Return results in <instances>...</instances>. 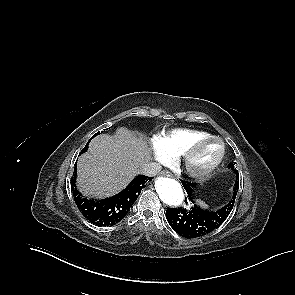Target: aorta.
Instances as JSON below:
<instances>
[{
    "mask_svg": "<svg viewBox=\"0 0 295 295\" xmlns=\"http://www.w3.org/2000/svg\"><path fill=\"white\" fill-rule=\"evenodd\" d=\"M155 189L160 199L169 206H180L184 202V192L178 181L168 177H159Z\"/></svg>",
    "mask_w": 295,
    "mask_h": 295,
    "instance_id": "1",
    "label": "aorta"
}]
</instances>
